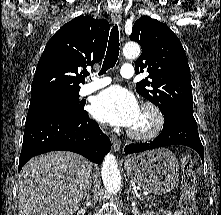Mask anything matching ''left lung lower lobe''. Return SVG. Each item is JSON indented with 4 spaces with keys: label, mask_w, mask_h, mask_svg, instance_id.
<instances>
[{
    "label": "left lung lower lobe",
    "mask_w": 221,
    "mask_h": 215,
    "mask_svg": "<svg viewBox=\"0 0 221 215\" xmlns=\"http://www.w3.org/2000/svg\"><path fill=\"white\" fill-rule=\"evenodd\" d=\"M163 130L151 142L130 144L125 147V153H138L168 145H185L193 148L200 155L204 163V149L197 131V124L193 116L176 115L164 119Z\"/></svg>",
    "instance_id": "1"
}]
</instances>
